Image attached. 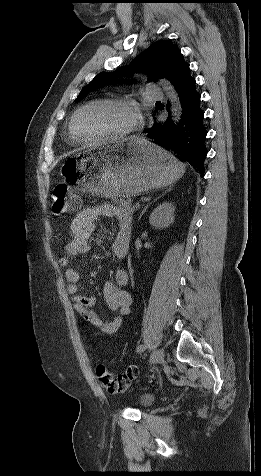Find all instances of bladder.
Returning a JSON list of instances; mask_svg holds the SVG:
<instances>
[{
    "mask_svg": "<svg viewBox=\"0 0 261 476\" xmlns=\"http://www.w3.org/2000/svg\"><path fill=\"white\" fill-rule=\"evenodd\" d=\"M154 402L153 395L145 394L140 398V405L144 408L149 407Z\"/></svg>",
    "mask_w": 261,
    "mask_h": 476,
    "instance_id": "1",
    "label": "bladder"
}]
</instances>
